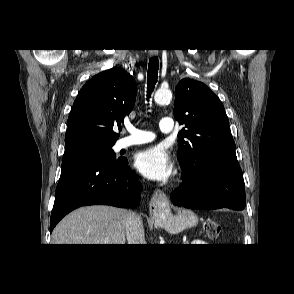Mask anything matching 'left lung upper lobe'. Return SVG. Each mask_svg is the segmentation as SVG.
I'll list each match as a JSON object with an SVG mask.
<instances>
[{
    "mask_svg": "<svg viewBox=\"0 0 294 294\" xmlns=\"http://www.w3.org/2000/svg\"><path fill=\"white\" fill-rule=\"evenodd\" d=\"M174 116L186 128L178 134L177 155L184 174L213 165L239 166L224 106L204 83L190 78L179 81Z\"/></svg>",
    "mask_w": 294,
    "mask_h": 294,
    "instance_id": "5c2ea615",
    "label": "left lung upper lobe"
}]
</instances>
